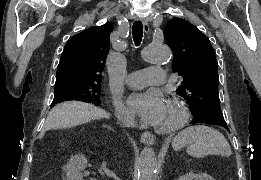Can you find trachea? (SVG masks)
I'll return each mask as SVG.
<instances>
[{
  "label": "trachea",
  "mask_w": 261,
  "mask_h": 180,
  "mask_svg": "<svg viewBox=\"0 0 261 180\" xmlns=\"http://www.w3.org/2000/svg\"><path fill=\"white\" fill-rule=\"evenodd\" d=\"M132 35L135 45H140L143 36V24L142 22H134L132 26Z\"/></svg>",
  "instance_id": "obj_1"
}]
</instances>
